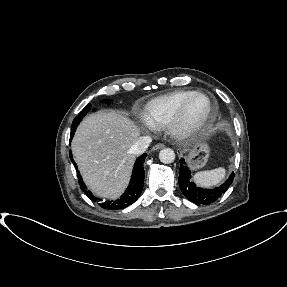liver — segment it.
Returning <instances> with one entry per match:
<instances>
[{
	"label": "liver",
	"mask_w": 287,
	"mask_h": 287,
	"mask_svg": "<svg viewBox=\"0 0 287 287\" xmlns=\"http://www.w3.org/2000/svg\"><path fill=\"white\" fill-rule=\"evenodd\" d=\"M140 128L125 114L99 111L86 117L72 140L84 182L99 197L118 198L127 187L136 155L130 148Z\"/></svg>",
	"instance_id": "6515ba94"
}]
</instances>
